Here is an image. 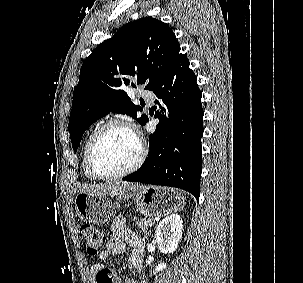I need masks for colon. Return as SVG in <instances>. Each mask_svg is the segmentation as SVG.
<instances>
[{
  "label": "colon",
  "mask_w": 303,
  "mask_h": 283,
  "mask_svg": "<svg viewBox=\"0 0 303 283\" xmlns=\"http://www.w3.org/2000/svg\"><path fill=\"white\" fill-rule=\"evenodd\" d=\"M80 236L86 253L91 256L100 252L106 239L104 232L91 225H83L80 229ZM96 283H118V277L114 271L103 268L96 274Z\"/></svg>",
  "instance_id": "colon-1"
}]
</instances>
